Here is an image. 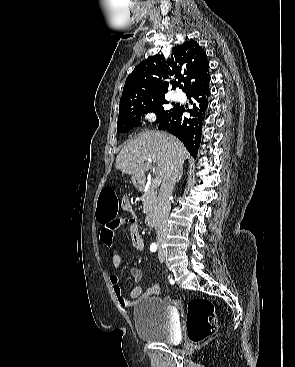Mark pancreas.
<instances>
[{
    "label": "pancreas",
    "instance_id": "pancreas-1",
    "mask_svg": "<svg viewBox=\"0 0 295 367\" xmlns=\"http://www.w3.org/2000/svg\"><path fill=\"white\" fill-rule=\"evenodd\" d=\"M141 200L143 201V213H153L157 207L156 187L150 185V187L142 195Z\"/></svg>",
    "mask_w": 295,
    "mask_h": 367
}]
</instances>
